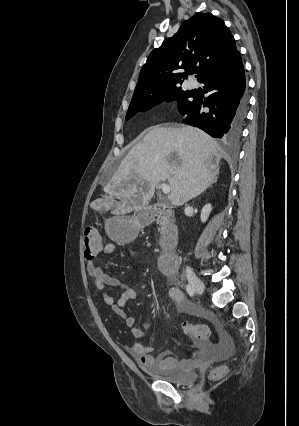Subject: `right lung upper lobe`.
<instances>
[{
	"instance_id": "right-lung-upper-lobe-1",
	"label": "right lung upper lobe",
	"mask_w": 299,
	"mask_h": 426,
	"mask_svg": "<svg viewBox=\"0 0 299 426\" xmlns=\"http://www.w3.org/2000/svg\"><path fill=\"white\" fill-rule=\"evenodd\" d=\"M237 53L235 40L223 20L211 13L195 14L150 53L131 101L182 84L194 68L200 82L227 65Z\"/></svg>"
}]
</instances>
